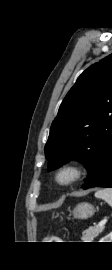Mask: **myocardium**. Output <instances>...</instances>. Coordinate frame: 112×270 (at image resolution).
<instances>
[{
  "mask_svg": "<svg viewBox=\"0 0 112 270\" xmlns=\"http://www.w3.org/2000/svg\"><path fill=\"white\" fill-rule=\"evenodd\" d=\"M84 175V166L79 161L68 160L56 168L53 180L57 186L67 188L79 182Z\"/></svg>",
  "mask_w": 112,
  "mask_h": 270,
  "instance_id": "1",
  "label": "myocardium"
}]
</instances>
